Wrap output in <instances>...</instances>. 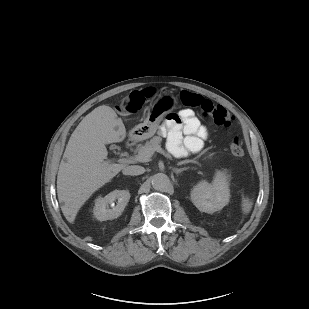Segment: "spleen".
Wrapping results in <instances>:
<instances>
[{
    "label": "spleen",
    "mask_w": 309,
    "mask_h": 309,
    "mask_svg": "<svg viewBox=\"0 0 309 309\" xmlns=\"http://www.w3.org/2000/svg\"><path fill=\"white\" fill-rule=\"evenodd\" d=\"M252 206H253L252 199L248 197H242L241 208L244 214H248L251 211Z\"/></svg>",
    "instance_id": "3e777b00"
}]
</instances>
